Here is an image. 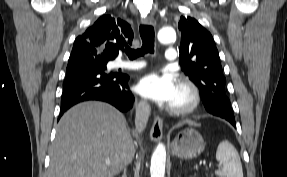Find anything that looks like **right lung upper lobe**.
Returning a JSON list of instances; mask_svg holds the SVG:
<instances>
[{"instance_id": "right-lung-upper-lobe-1", "label": "right lung upper lobe", "mask_w": 287, "mask_h": 177, "mask_svg": "<svg viewBox=\"0 0 287 177\" xmlns=\"http://www.w3.org/2000/svg\"><path fill=\"white\" fill-rule=\"evenodd\" d=\"M132 40L133 31L128 23L102 15L75 39L69 61L87 56L113 60L118 51L131 44Z\"/></svg>"}]
</instances>
